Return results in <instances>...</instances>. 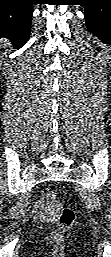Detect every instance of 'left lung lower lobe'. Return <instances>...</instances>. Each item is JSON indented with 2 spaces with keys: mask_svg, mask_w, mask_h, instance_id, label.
Returning a JSON list of instances; mask_svg holds the SVG:
<instances>
[{
  "mask_svg": "<svg viewBox=\"0 0 111 257\" xmlns=\"http://www.w3.org/2000/svg\"><path fill=\"white\" fill-rule=\"evenodd\" d=\"M84 15L89 32L104 42H111V0H87Z\"/></svg>",
  "mask_w": 111,
  "mask_h": 257,
  "instance_id": "0a47b994",
  "label": "left lung lower lobe"
}]
</instances>
